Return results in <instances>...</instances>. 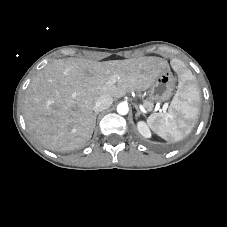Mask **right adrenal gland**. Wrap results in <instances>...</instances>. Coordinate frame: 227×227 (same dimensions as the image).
<instances>
[{"label": "right adrenal gland", "mask_w": 227, "mask_h": 227, "mask_svg": "<svg viewBox=\"0 0 227 227\" xmlns=\"http://www.w3.org/2000/svg\"><path fill=\"white\" fill-rule=\"evenodd\" d=\"M98 114H99L98 112L94 114L95 121H96V117H97Z\"/></svg>", "instance_id": "right-adrenal-gland-1"}]
</instances>
